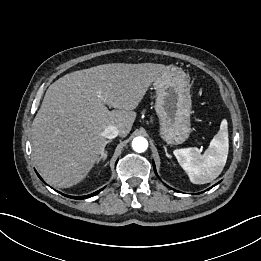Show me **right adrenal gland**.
<instances>
[{
  "instance_id": "2a0ac1e0",
  "label": "right adrenal gland",
  "mask_w": 261,
  "mask_h": 261,
  "mask_svg": "<svg viewBox=\"0 0 261 261\" xmlns=\"http://www.w3.org/2000/svg\"><path fill=\"white\" fill-rule=\"evenodd\" d=\"M110 142H111V140H108V141H107V144L110 143ZM106 158H107V151H105V152L101 155L99 161H103V162H104V161L106 160Z\"/></svg>"
}]
</instances>
